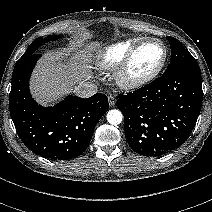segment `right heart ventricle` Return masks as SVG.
I'll return each mask as SVG.
<instances>
[{
	"mask_svg": "<svg viewBox=\"0 0 212 212\" xmlns=\"http://www.w3.org/2000/svg\"><path fill=\"white\" fill-rule=\"evenodd\" d=\"M138 42L139 40L132 39L108 46L99 54L97 66L101 70H112L118 67L131 48Z\"/></svg>",
	"mask_w": 212,
	"mask_h": 212,
	"instance_id": "1",
	"label": "right heart ventricle"
}]
</instances>
